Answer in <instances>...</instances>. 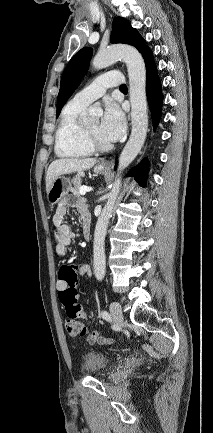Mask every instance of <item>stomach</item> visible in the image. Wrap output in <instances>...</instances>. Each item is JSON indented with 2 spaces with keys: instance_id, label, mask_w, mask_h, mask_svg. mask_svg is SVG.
<instances>
[{
  "instance_id": "stomach-1",
  "label": "stomach",
  "mask_w": 213,
  "mask_h": 433,
  "mask_svg": "<svg viewBox=\"0 0 213 433\" xmlns=\"http://www.w3.org/2000/svg\"><path fill=\"white\" fill-rule=\"evenodd\" d=\"M108 168L98 164L94 167L95 173L105 174ZM71 183L69 178L59 176L52 184L50 189L47 191V200L51 205L57 204L62 200L69 192Z\"/></svg>"
}]
</instances>
